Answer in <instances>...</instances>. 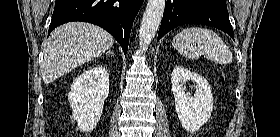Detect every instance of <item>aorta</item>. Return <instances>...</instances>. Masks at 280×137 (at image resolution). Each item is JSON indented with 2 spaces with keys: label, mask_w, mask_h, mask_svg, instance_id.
<instances>
[{
  "label": "aorta",
  "mask_w": 280,
  "mask_h": 137,
  "mask_svg": "<svg viewBox=\"0 0 280 137\" xmlns=\"http://www.w3.org/2000/svg\"><path fill=\"white\" fill-rule=\"evenodd\" d=\"M164 9L165 0H148L139 31V44L143 50L148 48L155 37Z\"/></svg>",
  "instance_id": "obj_1"
}]
</instances>
